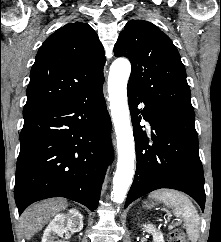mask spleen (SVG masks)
I'll list each match as a JSON object with an SVG mask.
<instances>
[{"label":"spleen","instance_id":"obj_1","mask_svg":"<svg viewBox=\"0 0 221 242\" xmlns=\"http://www.w3.org/2000/svg\"><path fill=\"white\" fill-rule=\"evenodd\" d=\"M173 209L174 215L186 223V233L192 242L199 237V215L193 203L183 193L171 189L157 190L150 194Z\"/></svg>","mask_w":221,"mask_h":242}]
</instances>
